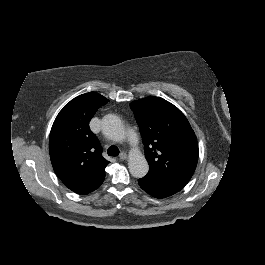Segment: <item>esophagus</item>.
I'll use <instances>...</instances> for the list:
<instances>
[{
    "mask_svg": "<svg viewBox=\"0 0 265 265\" xmlns=\"http://www.w3.org/2000/svg\"><path fill=\"white\" fill-rule=\"evenodd\" d=\"M127 158V154L125 152H121L119 155V159L125 160Z\"/></svg>",
    "mask_w": 265,
    "mask_h": 265,
    "instance_id": "1",
    "label": "esophagus"
}]
</instances>
